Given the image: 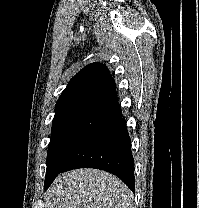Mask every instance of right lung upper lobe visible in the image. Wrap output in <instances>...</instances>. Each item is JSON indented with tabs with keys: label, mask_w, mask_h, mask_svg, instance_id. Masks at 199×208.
<instances>
[{
	"label": "right lung upper lobe",
	"mask_w": 199,
	"mask_h": 208,
	"mask_svg": "<svg viewBox=\"0 0 199 208\" xmlns=\"http://www.w3.org/2000/svg\"><path fill=\"white\" fill-rule=\"evenodd\" d=\"M116 98L115 81L107 67L92 63L70 80L56 103L55 116L75 109H101Z\"/></svg>",
	"instance_id": "obj_1"
}]
</instances>
